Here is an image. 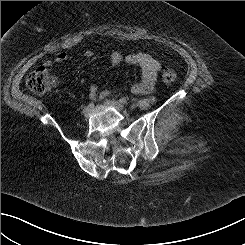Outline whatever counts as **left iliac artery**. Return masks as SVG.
<instances>
[{
    "label": "left iliac artery",
    "instance_id": "obj_1",
    "mask_svg": "<svg viewBox=\"0 0 245 245\" xmlns=\"http://www.w3.org/2000/svg\"><path fill=\"white\" fill-rule=\"evenodd\" d=\"M119 102L122 103V104H128V99L125 98V97H122L119 99Z\"/></svg>",
    "mask_w": 245,
    "mask_h": 245
}]
</instances>
